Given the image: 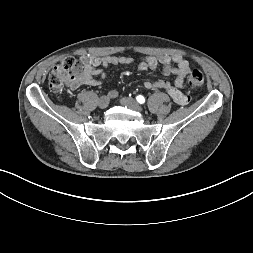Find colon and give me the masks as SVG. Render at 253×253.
Listing matches in <instances>:
<instances>
[{"mask_svg":"<svg viewBox=\"0 0 253 253\" xmlns=\"http://www.w3.org/2000/svg\"><path fill=\"white\" fill-rule=\"evenodd\" d=\"M83 65L74 57L63 58L51 71L48 79L52 92H61L71 86L83 73ZM205 77L200 70H193L187 77V84L197 88L204 84Z\"/></svg>","mask_w":253,"mask_h":253,"instance_id":"1","label":"colon"}]
</instances>
